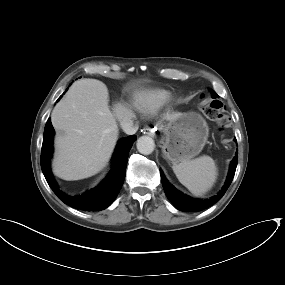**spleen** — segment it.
<instances>
[{"mask_svg":"<svg viewBox=\"0 0 285 285\" xmlns=\"http://www.w3.org/2000/svg\"><path fill=\"white\" fill-rule=\"evenodd\" d=\"M172 169L180 183L195 196L208 192L218 175L215 161L207 155L173 163Z\"/></svg>","mask_w":285,"mask_h":285,"instance_id":"spleen-1","label":"spleen"}]
</instances>
